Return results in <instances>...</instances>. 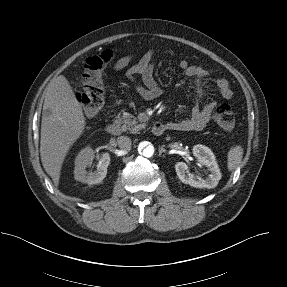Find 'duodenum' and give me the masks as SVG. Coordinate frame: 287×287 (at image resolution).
Listing matches in <instances>:
<instances>
[{
  "mask_svg": "<svg viewBox=\"0 0 287 287\" xmlns=\"http://www.w3.org/2000/svg\"><path fill=\"white\" fill-rule=\"evenodd\" d=\"M106 130L108 133H110L112 135H120L122 133L121 127L114 122L108 123L106 126ZM164 131H165V126L162 123L155 122L153 124L152 132L154 135L160 136L164 133Z\"/></svg>",
  "mask_w": 287,
  "mask_h": 287,
  "instance_id": "410a0bca",
  "label": "duodenum"
}]
</instances>
